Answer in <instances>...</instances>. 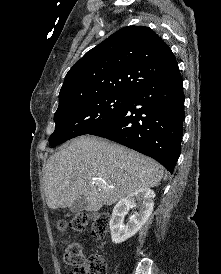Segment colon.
Here are the masks:
<instances>
[{
	"mask_svg": "<svg viewBox=\"0 0 221 274\" xmlns=\"http://www.w3.org/2000/svg\"><path fill=\"white\" fill-rule=\"evenodd\" d=\"M89 224L93 236L98 239L103 238L109 228V215L102 212H79L74 214L69 222L70 227L78 232L84 231ZM67 226L64 220L57 222V228L62 234ZM63 259L67 265L74 268L71 274H107L105 260L99 255H92L85 259L83 248L79 243L68 244L64 250Z\"/></svg>",
	"mask_w": 221,
	"mask_h": 274,
	"instance_id": "5ec220e1",
	"label": "colon"
}]
</instances>
